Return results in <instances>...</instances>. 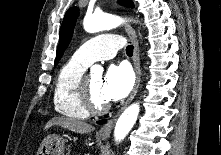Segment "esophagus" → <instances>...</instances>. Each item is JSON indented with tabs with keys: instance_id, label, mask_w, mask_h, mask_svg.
I'll return each instance as SVG.
<instances>
[{
	"instance_id": "1",
	"label": "esophagus",
	"mask_w": 221,
	"mask_h": 155,
	"mask_svg": "<svg viewBox=\"0 0 221 155\" xmlns=\"http://www.w3.org/2000/svg\"><path fill=\"white\" fill-rule=\"evenodd\" d=\"M125 31L129 36V39L131 40L133 46H134V52H133V63H134V69L136 73V81L134 88L127 99L126 103L121 107V109L111 118L107 121V123L99 130L98 136L106 138L109 137L113 126L116 122L117 117L120 115V113L128 106V104L133 100L135 97L141 80V68H140V49H139V42L136 35L135 30L131 27L129 24H125Z\"/></svg>"
}]
</instances>
